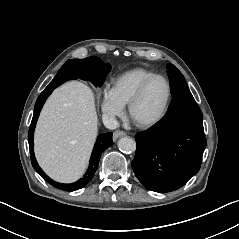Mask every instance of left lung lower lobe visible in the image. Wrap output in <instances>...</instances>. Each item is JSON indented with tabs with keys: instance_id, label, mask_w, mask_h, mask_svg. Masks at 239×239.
<instances>
[{
	"instance_id": "0a47b994",
	"label": "left lung lower lobe",
	"mask_w": 239,
	"mask_h": 239,
	"mask_svg": "<svg viewBox=\"0 0 239 239\" xmlns=\"http://www.w3.org/2000/svg\"><path fill=\"white\" fill-rule=\"evenodd\" d=\"M135 138L132 168L143 186L159 193L182 187L199 171L207 143L202 112L191 92L173 95L162 120Z\"/></svg>"
}]
</instances>
